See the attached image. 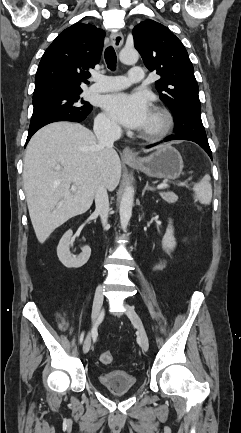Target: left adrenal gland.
Masks as SVG:
<instances>
[{
	"label": "left adrenal gland",
	"mask_w": 241,
	"mask_h": 433,
	"mask_svg": "<svg viewBox=\"0 0 241 433\" xmlns=\"http://www.w3.org/2000/svg\"><path fill=\"white\" fill-rule=\"evenodd\" d=\"M154 191V188L152 186L149 185L148 182H146V186L144 187L143 191H142V196H144L146 191Z\"/></svg>",
	"instance_id": "obj_1"
}]
</instances>
